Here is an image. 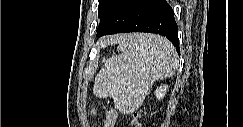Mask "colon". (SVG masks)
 Masks as SVG:
<instances>
[{
  "instance_id": "1",
  "label": "colon",
  "mask_w": 243,
  "mask_h": 127,
  "mask_svg": "<svg viewBox=\"0 0 243 127\" xmlns=\"http://www.w3.org/2000/svg\"><path fill=\"white\" fill-rule=\"evenodd\" d=\"M140 117V112H136L135 114H134V117H133V122H132V124L134 125V126H140V124H139V122H138V118Z\"/></svg>"
}]
</instances>
